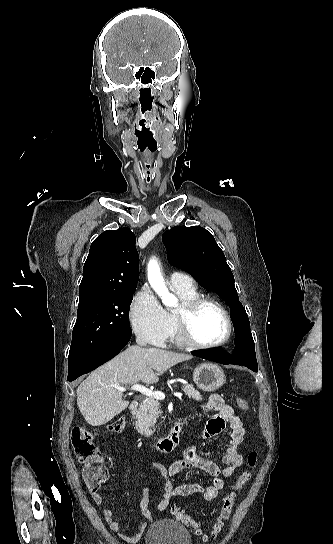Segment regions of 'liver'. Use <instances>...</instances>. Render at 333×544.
Instances as JSON below:
<instances>
[{"mask_svg": "<svg viewBox=\"0 0 333 544\" xmlns=\"http://www.w3.org/2000/svg\"><path fill=\"white\" fill-rule=\"evenodd\" d=\"M192 359L191 355L131 346L92 372L77 389V405L91 426H101L125 410L129 402L115 388L158 382L159 375L172 366Z\"/></svg>", "mask_w": 333, "mask_h": 544, "instance_id": "obj_1", "label": "liver"}]
</instances>
